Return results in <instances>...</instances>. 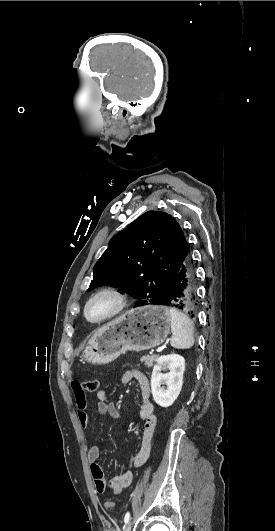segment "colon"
I'll use <instances>...</instances> for the list:
<instances>
[{"label": "colon", "instance_id": "1", "mask_svg": "<svg viewBox=\"0 0 275 531\" xmlns=\"http://www.w3.org/2000/svg\"><path fill=\"white\" fill-rule=\"evenodd\" d=\"M99 388V379L93 378L85 381V392L95 393ZM105 507L108 511H113L116 508V504L112 500L105 502Z\"/></svg>", "mask_w": 275, "mask_h": 531}]
</instances>
